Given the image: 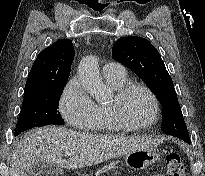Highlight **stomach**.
I'll return each mask as SVG.
<instances>
[{
  "label": "stomach",
  "instance_id": "1",
  "mask_svg": "<svg viewBox=\"0 0 205 176\" xmlns=\"http://www.w3.org/2000/svg\"><path fill=\"white\" fill-rule=\"evenodd\" d=\"M160 151L155 148H144L128 153L125 157L127 167L133 170H143L160 159Z\"/></svg>",
  "mask_w": 205,
  "mask_h": 176
}]
</instances>
